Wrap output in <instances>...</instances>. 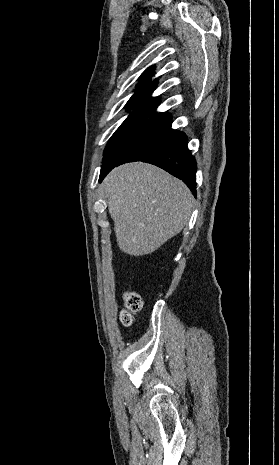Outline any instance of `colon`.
<instances>
[{
  "instance_id": "5ec220e1",
  "label": "colon",
  "mask_w": 279,
  "mask_h": 465,
  "mask_svg": "<svg viewBox=\"0 0 279 465\" xmlns=\"http://www.w3.org/2000/svg\"><path fill=\"white\" fill-rule=\"evenodd\" d=\"M124 309L120 313V322L124 326H130L133 322V313L142 308V299L138 292H126L123 296Z\"/></svg>"
}]
</instances>
